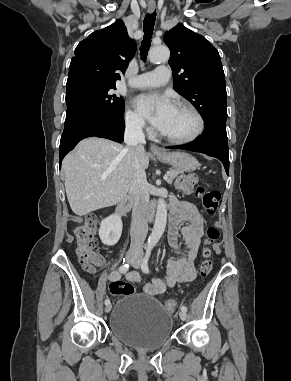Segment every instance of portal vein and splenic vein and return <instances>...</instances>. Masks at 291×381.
<instances>
[{"label":"portal vein and splenic vein","mask_w":291,"mask_h":381,"mask_svg":"<svg viewBox=\"0 0 291 381\" xmlns=\"http://www.w3.org/2000/svg\"><path fill=\"white\" fill-rule=\"evenodd\" d=\"M163 178H164V180H167L168 179V174H165Z\"/></svg>","instance_id":"18ae733b"}]
</instances>
